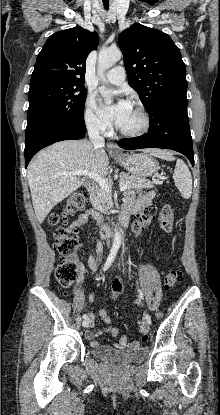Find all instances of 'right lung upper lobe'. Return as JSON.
<instances>
[{
  "label": "right lung upper lobe",
  "mask_w": 220,
  "mask_h": 415,
  "mask_svg": "<svg viewBox=\"0 0 220 415\" xmlns=\"http://www.w3.org/2000/svg\"><path fill=\"white\" fill-rule=\"evenodd\" d=\"M98 41L95 32L79 26L54 33L38 54L31 81L51 78L83 84L86 59Z\"/></svg>",
  "instance_id": "1"
}]
</instances>
